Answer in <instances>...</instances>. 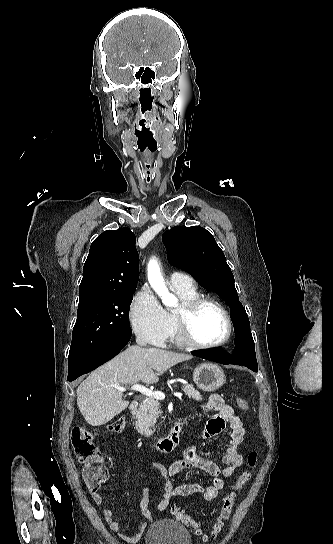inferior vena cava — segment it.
Instances as JSON below:
<instances>
[{"instance_id":"inferior-vena-cava-1","label":"inferior vena cava","mask_w":333,"mask_h":544,"mask_svg":"<svg viewBox=\"0 0 333 544\" xmlns=\"http://www.w3.org/2000/svg\"><path fill=\"white\" fill-rule=\"evenodd\" d=\"M136 343L139 345V346H146L147 342L140 336H137L136 337Z\"/></svg>"}]
</instances>
